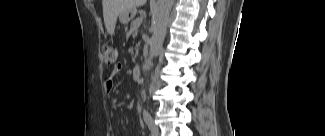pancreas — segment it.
<instances>
[{
	"mask_svg": "<svg viewBox=\"0 0 325 136\" xmlns=\"http://www.w3.org/2000/svg\"><path fill=\"white\" fill-rule=\"evenodd\" d=\"M134 25V18H131L130 20H129V26H133ZM137 35V32L134 34V36H136Z\"/></svg>",
	"mask_w": 325,
	"mask_h": 136,
	"instance_id": "cf45deb5",
	"label": "pancreas"
}]
</instances>
